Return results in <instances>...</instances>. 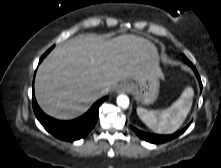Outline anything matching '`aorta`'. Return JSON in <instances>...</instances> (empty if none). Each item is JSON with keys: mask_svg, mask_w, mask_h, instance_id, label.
I'll list each match as a JSON object with an SVG mask.
<instances>
[{"mask_svg": "<svg viewBox=\"0 0 221 168\" xmlns=\"http://www.w3.org/2000/svg\"><path fill=\"white\" fill-rule=\"evenodd\" d=\"M117 105L123 109H126L128 108L129 106V98L124 95V94H121L117 97Z\"/></svg>", "mask_w": 221, "mask_h": 168, "instance_id": "aorta-1", "label": "aorta"}]
</instances>
